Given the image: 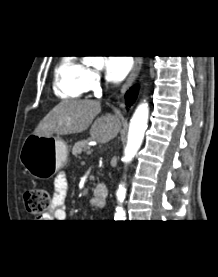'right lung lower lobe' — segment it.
Instances as JSON below:
<instances>
[{"mask_svg":"<svg viewBox=\"0 0 218 277\" xmlns=\"http://www.w3.org/2000/svg\"><path fill=\"white\" fill-rule=\"evenodd\" d=\"M138 88L139 87H136V88H131L129 92L126 93L125 97H126V100L128 101V105H131V103H133L137 97V94H138Z\"/></svg>","mask_w":218,"mask_h":277,"instance_id":"1","label":"right lung lower lobe"}]
</instances>
